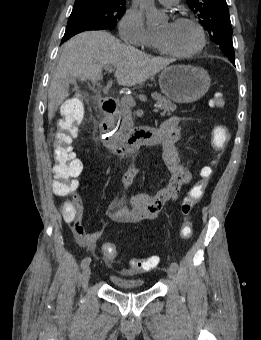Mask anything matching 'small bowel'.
<instances>
[{
	"label": "small bowel",
	"mask_w": 261,
	"mask_h": 340,
	"mask_svg": "<svg viewBox=\"0 0 261 340\" xmlns=\"http://www.w3.org/2000/svg\"><path fill=\"white\" fill-rule=\"evenodd\" d=\"M181 119L177 117L169 118L158 128L161 136L162 157L172 176L167 185L155 195L137 194L129 199L124 197L118 199L116 204L125 205L109 215L113 222L117 223H139L144 220H154L161 209L167 203L175 202L182 188L192 181V173L179 157L176 143L181 134ZM140 169L132 167L123 175V185L125 189L131 187ZM76 212L72 216L63 215L65 222L70 228L77 242L89 251H93L97 242L103 237L105 227H101L93 233H87L82 225V204L79 199L75 200Z\"/></svg>",
	"instance_id": "obj_1"
}]
</instances>
